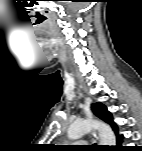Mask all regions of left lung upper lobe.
<instances>
[{
    "mask_svg": "<svg viewBox=\"0 0 142 151\" xmlns=\"http://www.w3.org/2000/svg\"><path fill=\"white\" fill-rule=\"evenodd\" d=\"M91 107L94 114L98 116L100 119L110 124L112 129L116 133V135H118L119 133L118 126L113 121L112 114L107 110L106 106L98 102V103L92 104Z\"/></svg>",
    "mask_w": 142,
    "mask_h": 151,
    "instance_id": "left-lung-upper-lobe-1",
    "label": "left lung upper lobe"
}]
</instances>
